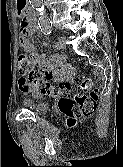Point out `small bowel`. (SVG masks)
Masks as SVG:
<instances>
[{
    "mask_svg": "<svg viewBox=\"0 0 123 167\" xmlns=\"http://www.w3.org/2000/svg\"><path fill=\"white\" fill-rule=\"evenodd\" d=\"M27 5V0H17L18 10H16V14L23 17V11H26ZM27 16L28 17H23V21L21 23L22 34L19 38V43L24 51L31 54L32 66H36L38 69L50 74L53 79H61L66 81L71 80L73 77V70L69 67L62 66L60 61L57 59V56L48 57L45 53H34L35 46L30 41L29 36L36 30V25L30 13H28ZM18 84L21 92L35 96L40 95L39 90L30 83L26 82L24 78H20Z\"/></svg>",
    "mask_w": 123,
    "mask_h": 167,
    "instance_id": "1",
    "label": "small bowel"
}]
</instances>
